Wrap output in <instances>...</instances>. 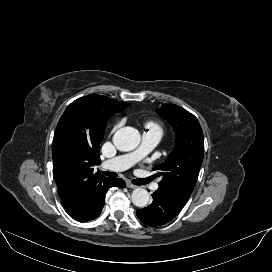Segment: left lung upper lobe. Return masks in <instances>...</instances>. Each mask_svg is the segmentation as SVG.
Here are the masks:
<instances>
[{"mask_svg": "<svg viewBox=\"0 0 272 272\" xmlns=\"http://www.w3.org/2000/svg\"><path fill=\"white\" fill-rule=\"evenodd\" d=\"M157 113L176 132V143L167 160L153 170L162 176L158 190L185 205L193 191L203 161L204 138L197 118L177 105H162Z\"/></svg>", "mask_w": 272, "mask_h": 272, "instance_id": "left-lung-upper-lobe-1", "label": "left lung upper lobe"}]
</instances>
